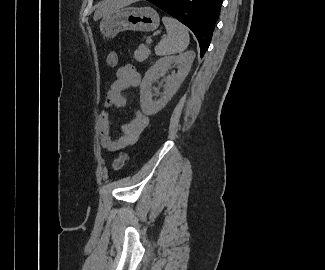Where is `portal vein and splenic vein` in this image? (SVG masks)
I'll list each match as a JSON object with an SVG mask.
<instances>
[{
	"mask_svg": "<svg viewBox=\"0 0 325 270\" xmlns=\"http://www.w3.org/2000/svg\"><path fill=\"white\" fill-rule=\"evenodd\" d=\"M152 40L151 39H148L147 42L150 43Z\"/></svg>",
	"mask_w": 325,
	"mask_h": 270,
	"instance_id": "18ae733b",
	"label": "portal vein and splenic vein"
}]
</instances>
